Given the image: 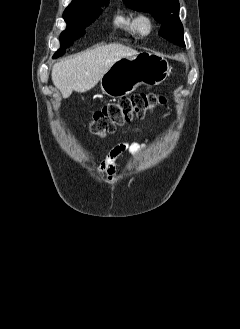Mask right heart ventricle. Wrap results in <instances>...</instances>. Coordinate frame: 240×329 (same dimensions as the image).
<instances>
[{
  "instance_id": "obj_1",
  "label": "right heart ventricle",
  "mask_w": 240,
  "mask_h": 329,
  "mask_svg": "<svg viewBox=\"0 0 240 329\" xmlns=\"http://www.w3.org/2000/svg\"><path fill=\"white\" fill-rule=\"evenodd\" d=\"M135 15L119 12L114 18L115 27L124 35H134L135 31Z\"/></svg>"
}]
</instances>
